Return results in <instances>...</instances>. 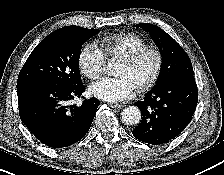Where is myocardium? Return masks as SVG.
Listing matches in <instances>:
<instances>
[{
  "label": "myocardium",
  "mask_w": 224,
  "mask_h": 175,
  "mask_svg": "<svg viewBox=\"0 0 224 175\" xmlns=\"http://www.w3.org/2000/svg\"><path fill=\"white\" fill-rule=\"evenodd\" d=\"M147 55H153L155 57V67L151 76L136 87L139 91H145L152 88L158 81L164 64L162 52L156 47L146 46L122 59V62L127 66L135 67Z\"/></svg>",
  "instance_id": "myocardium-1"
}]
</instances>
